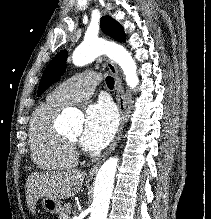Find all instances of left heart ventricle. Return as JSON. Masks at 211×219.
<instances>
[{
    "mask_svg": "<svg viewBox=\"0 0 211 219\" xmlns=\"http://www.w3.org/2000/svg\"><path fill=\"white\" fill-rule=\"evenodd\" d=\"M80 134H81V130L76 129V130H73V131L69 132L67 134V136H69L70 138H72L74 140H77L80 137Z\"/></svg>",
    "mask_w": 211,
    "mask_h": 219,
    "instance_id": "left-heart-ventricle-1",
    "label": "left heart ventricle"
}]
</instances>
